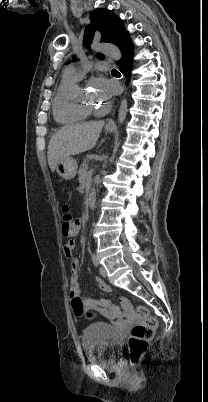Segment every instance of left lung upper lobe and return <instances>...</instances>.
I'll return each mask as SVG.
<instances>
[{
	"label": "left lung upper lobe",
	"mask_w": 208,
	"mask_h": 402,
	"mask_svg": "<svg viewBox=\"0 0 208 402\" xmlns=\"http://www.w3.org/2000/svg\"><path fill=\"white\" fill-rule=\"evenodd\" d=\"M90 20L91 24L86 27L83 38L87 48H90L96 29L101 32V41L111 42L120 47L127 32L118 16L108 9H97L91 13ZM98 58L103 59L104 56L98 54Z\"/></svg>",
	"instance_id": "obj_1"
}]
</instances>
